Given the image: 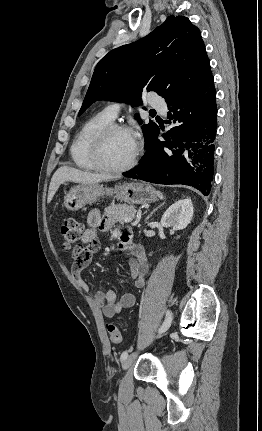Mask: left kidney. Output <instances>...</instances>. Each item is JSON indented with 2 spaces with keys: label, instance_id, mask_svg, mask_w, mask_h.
<instances>
[{
  "label": "left kidney",
  "instance_id": "left-kidney-1",
  "mask_svg": "<svg viewBox=\"0 0 262 431\" xmlns=\"http://www.w3.org/2000/svg\"><path fill=\"white\" fill-rule=\"evenodd\" d=\"M193 217V204L191 199L178 200L172 204L161 218L162 226L173 230H183Z\"/></svg>",
  "mask_w": 262,
  "mask_h": 431
}]
</instances>
